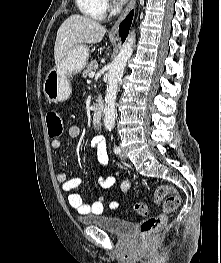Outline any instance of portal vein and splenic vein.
Wrapping results in <instances>:
<instances>
[{"label": "portal vein and splenic vein", "mask_w": 221, "mask_h": 263, "mask_svg": "<svg viewBox=\"0 0 221 263\" xmlns=\"http://www.w3.org/2000/svg\"><path fill=\"white\" fill-rule=\"evenodd\" d=\"M95 76V72H91L90 74H89V78H93Z\"/></svg>", "instance_id": "portal-vein-and-splenic-vein-1"}]
</instances>
